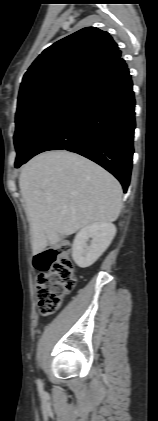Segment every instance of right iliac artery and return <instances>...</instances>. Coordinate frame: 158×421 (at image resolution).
<instances>
[{
	"mask_svg": "<svg viewBox=\"0 0 158 421\" xmlns=\"http://www.w3.org/2000/svg\"><path fill=\"white\" fill-rule=\"evenodd\" d=\"M37 383H38V385H39V386L41 385V382H40V380H37Z\"/></svg>",
	"mask_w": 158,
	"mask_h": 421,
	"instance_id": "82829eb1",
	"label": "right iliac artery"
}]
</instances>
